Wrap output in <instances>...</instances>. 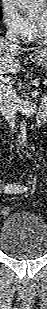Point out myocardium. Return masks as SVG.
<instances>
[{
    "instance_id": "1",
    "label": "myocardium",
    "mask_w": 47,
    "mask_h": 309,
    "mask_svg": "<svg viewBox=\"0 0 47 309\" xmlns=\"http://www.w3.org/2000/svg\"><path fill=\"white\" fill-rule=\"evenodd\" d=\"M36 33L37 35H42L43 31H41L38 27H36Z\"/></svg>"
}]
</instances>
